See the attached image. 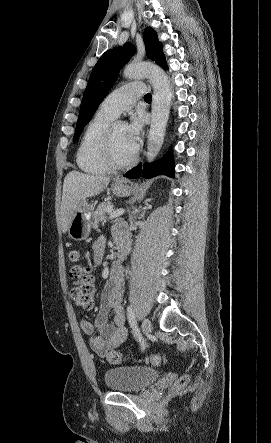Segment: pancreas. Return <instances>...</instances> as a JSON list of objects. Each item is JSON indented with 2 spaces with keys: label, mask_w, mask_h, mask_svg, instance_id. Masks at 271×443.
Segmentation results:
<instances>
[{
  "label": "pancreas",
  "mask_w": 271,
  "mask_h": 443,
  "mask_svg": "<svg viewBox=\"0 0 271 443\" xmlns=\"http://www.w3.org/2000/svg\"><path fill=\"white\" fill-rule=\"evenodd\" d=\"M111 202H106V204H99L97 210L92 214L93 227H97V223L105 222L107 220L109 214L108 208H110Z\"/></svg>",
  "instance_id": "obj_1"
}]
</instances>
